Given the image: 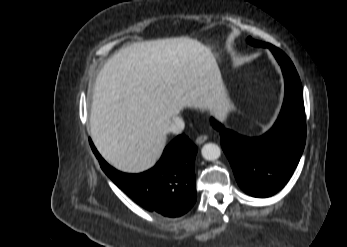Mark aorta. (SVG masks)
<instances>
[{
  "label": "aorta",
  "instance_id": "1",
  "mask_svg": "<svg viewBox=\"0 0 347 247\" xmlns=\"http://www.w3.org/2000/svg\"><path fill=\"white\" fill-rule=\"evenodd\" d=\"M201 154L204 159L215 161L220 157L221 150L215 143H206L201 149Z\"/></svg>",
  "mask_w": 347,
  "mask_h": 247
}]
</instances>
